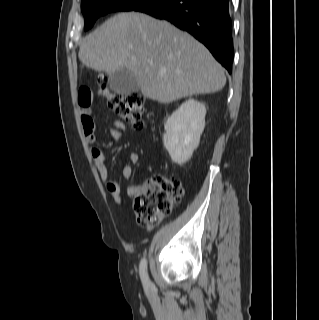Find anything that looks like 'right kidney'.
<instances>
[{"mask_svg": "<svg viewBox=\"0 0 319 320\" xmlns=\"http://www.w3.org/2000/svg\"><path fill=\"white\" fill-rule=\"evenodd\" d=\"M204 103L188 99L167 119L163 142L174 163H186L198 147L205 127Z\"/></svg>", "mask_w": 319, "mask_h": 320, "instance_id": "obj_1", "label": "right kidney"}]
</instances>
